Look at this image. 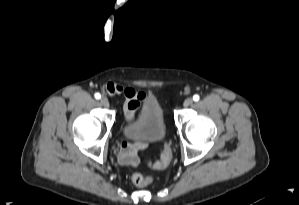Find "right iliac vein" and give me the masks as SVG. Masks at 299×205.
Segmentation results:
<instances>
[{"label": "right iliac vein", "mask_w": 299, "mask_h": 205, "mask_svg": "<svg viewBox=\"0 0 299 205\" xmlns=\"http://www.w3.org/2000/svg\"><path fill=\"white\" fill-rule=\"evenodd\" d=\"M100 102L104 107H109V101L106 98H101Z\"/></svg>", "instance_id": "obj_1"}]
</instances>
